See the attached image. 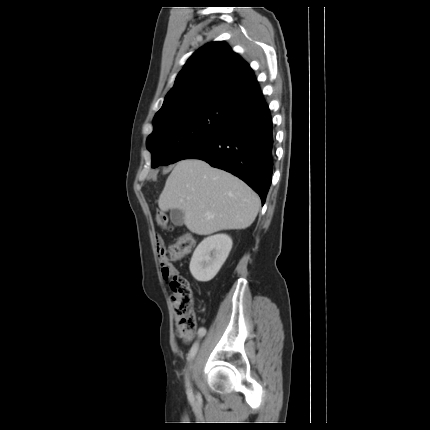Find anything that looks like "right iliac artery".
<instances>
[{"label":"right iliac artery","mask_w":430,"mask_h":430,"mask_svg":"<svg viewBox=\"0 0 430 430\" xmlns=\"http://www.w3.org/2000/svg\"><path fill=\"white\" fill-rule=\"evenodd\" d=\"M199 337L200 338H203L204 337V335L206 334V331L205 330H199ZM198 346H199V341H196L194 344H193V346L191 347V349H190V351H189V354H188V360L189 361H191L193 358H194V356H195V354H196V352H197V350H198ZM186 387H187V394H188V397L189 398H192V390H191V386H190V382H189V379H188V376L186 375Z\"/></svg>","instance_id":"1"}]
</instances>
